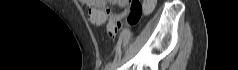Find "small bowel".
<instances>
[{"label":"small bowel","mask_w":238,"mask_h":70,"mask_svg":"<svg viewBox=\"0 0 238 70\" xmlns=\"http://www.w3.org/2000/svg\"><path fill=\"white\" fill-rule=\"evenodd\" d=\"M83 3L89 7L88 18L96 26L104 24L108 19L120 20L126 15L127 10L118 14L107 8V4H116L122 7L127 5L126 0H84Z\"/></svg>","instance_id":"c3829d8e"}]
</instances>
